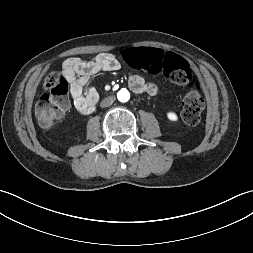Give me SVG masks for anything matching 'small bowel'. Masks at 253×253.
<instances>
[{
  "instance_id": "small-bowel-1",
  "label": "small bowel",
  "mask_w": 253,
  "mask_h": 253,
  "mask_svg": "<svg viewBox=\"0 0 253 253\" xmlns=\"http://www.w3.org/2000/svg\"><path fill=\"white\" fill-rule=\"evenodd\" d=\"M119 67L117 57L111 53L97 54L90 61H83L78 57H70L64 61L63 74L68 80L70 93L78 111L84 112L98 101L97 91L88 86L90 78L98 72H113L118 70ZM128 83L136 93L155 96L159 92V87L155 83L145 81L136 74L129 75Z\"/></svg>"
}]
</instances>
